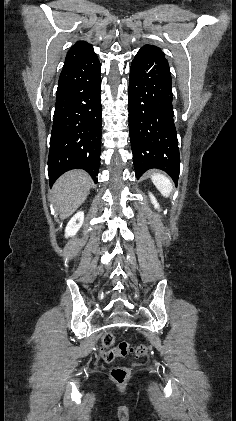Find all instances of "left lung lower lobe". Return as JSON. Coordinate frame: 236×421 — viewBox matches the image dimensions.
I'll return each instance as SVG.
<instances>
[{
	"label": "left lung lower lobe",
	"instance_id": "left-lung-lower-lobe-1",
	"mask_svg": "<svg viewBox=\"0 0 236 421\" xmlns=\"http://www.w3.org/2000/svg\"><path fill=\"white\" fill-rule=\"evenodd\" d=\"M169 65L160 48L143 46L131 64L129 132L137 179L158 168L178 182L180 156L173 119Z\"/></svg>",
	"mask_w": 236,
	"mask_h": 421
}]
</instances>
